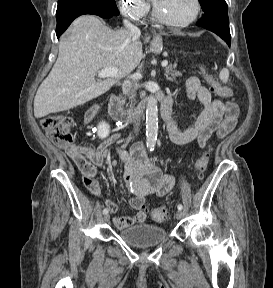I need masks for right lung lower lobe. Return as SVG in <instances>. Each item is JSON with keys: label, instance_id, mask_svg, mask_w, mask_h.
<instances>
[{"label": "right lung lower lobe", "instance_id": "obj_1", "mask_svg": "<svg viewBox=\"0 0 273 288\" xmlns=\"http://www.w3.org/2000/svg\"><path fill=\"white\" fill-rule=\"evenodd\" d=\"M84 14L97 15V16L102 17V18L114 17V15H100V14H96V13L89 12V11L73 12V13L63 15V16L57 18V27H56L57 38H59V36L68 28V26L71 24V22L75 18H77L78 16H81V15H84Z\"/></svg>", "mask_w": 273, "mask_h": 288}]
</instances>
